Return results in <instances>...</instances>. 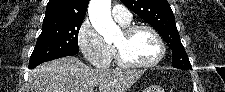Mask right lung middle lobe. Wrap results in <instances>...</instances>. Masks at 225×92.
Wrapping results in <instances>:
<instances>
[{
    "mask_svg": "<svg viewBox=\"0 0 225 92\" xmlns=\"http://www.w3.org/2000/svg\"><path fill=\"white\" fill-rule=\"evenodd\" d=\"M82 22L43 24L30 62L78 52V33Z\"/></svg>",
    "mask_w": 225,
    "mask_h": 92,
    "instance_id": "1",
    "label": "right lung middle lobe"
}]
</instances>
